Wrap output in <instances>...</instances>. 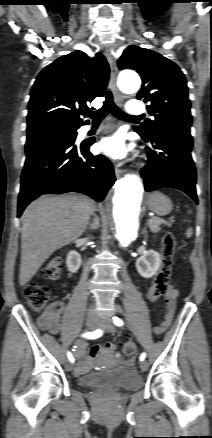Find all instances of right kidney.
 Masks as SVG:
<instances>
[{"label": "right kidney", "mask_w": 212, "mask_h": 438, "mask_svg": "<svg viewBox=\"0 0 212 438\" xmlns=\"http://www.w3.org/2000/svg\"><path fill=\"white\" fill-rule=\"evenodd\" d=\"M82 263L81 255L76 251H70L67 254L66 265L70 272H77Z\"/></svg>", "instance_id": "1"}]
</instances>
